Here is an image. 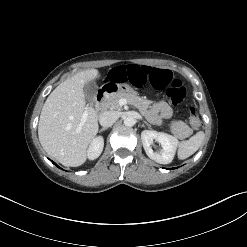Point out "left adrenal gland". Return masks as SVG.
<instances>
[{"label":"left adrenal gland","mask_w":247,"mask_h":247,"mask_svg":"<svg viewBox=\"0 0 247 247\" xmlns=\"http://www.w3.org/2000/svg\"><path fill=\"white\" fill-rule=\"evenodd\" d=\"M144 123L151 128V125L150 124H148L147 122H144Z\"/></svg>","instance_id":"1"}]
</instances>
